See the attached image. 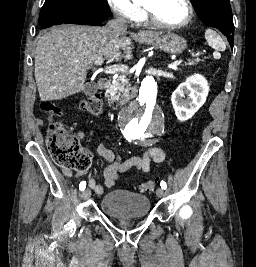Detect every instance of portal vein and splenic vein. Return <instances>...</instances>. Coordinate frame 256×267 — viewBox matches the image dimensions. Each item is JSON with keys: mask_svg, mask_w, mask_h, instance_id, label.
Instances as JSON below:
<instances>
[{"mask_svg": "<svg viewBox=\"0 0 256 267\" xmlns=\"http://www.w3.org/2000/svg\"><path fill=\"white\" fill-rule=\"evenodd\" d=\"M182 63L181 59H177L176 61L171 62L170 68H176V66H179ZM96 66H102L103 62L102 60H98V62H95ZM175 66V67H172ZM105 74H117V72H127L125 66H106L104 68Z\"/></svg>", "mask_w": 256, "mask_h": 267, "instance_id": "portal-vein-and-splenic-vein-1", "label": "portal vein and splenic vein"}]
</instances>
